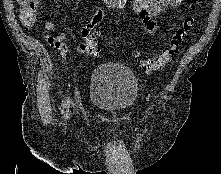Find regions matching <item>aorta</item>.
<instances>
[{
  "label": "aorta",
  "instance_id": "aorta-1",
  "mask_svg": "<svg viewBox=\"0 0 221 174\" xmlns=\"http://www.w3.org/2000/svg\"><path fill=\"white\" fill-rule=\"evenodd\" d=\"M115 4L118 5L119 8H122L126 0H114Z\"/></svg>",
  "mask_w": 221,
  "mask_h": 174
}]
</instances>
